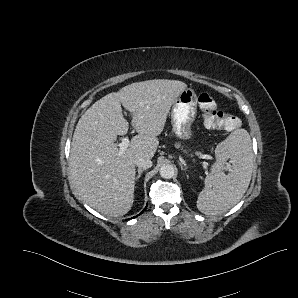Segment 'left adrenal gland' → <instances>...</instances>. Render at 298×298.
I'll return each mask as SVG.
<instances>
[{"label":"left adrenal gland","instance_id":"a2214340","mask_svg":"<svg viewBox=\"0 0 298 298\" xmlns=\"http://www.w3.org/2000/svg\"><path fill=\"white\" fill-rule=\"evenodd\" d=\"M179 165H180V169L182 171H185L186 170V165H184L183 163L179 162Z\"/></svg>","mask_w":298,"mask_h":298}]
</instances>
